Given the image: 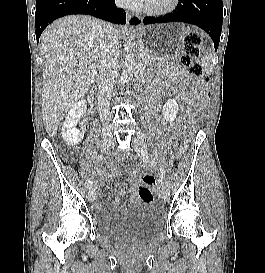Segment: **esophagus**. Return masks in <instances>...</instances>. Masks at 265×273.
<instances>
[{
    "label": "esophagus",
    "mask_w": 265,
    "mask_h": 273,
    "mask_svg": "<svg viewBox=\"0 0 265 273\" xmlns=\"http://www.w3.org/2000/svg\"><path fill=\"white\" fill-rule=\"evenodd\" d=\"M127 24L131 27L140 26L142 24V17L129 13L127 15Z\"/></svg>",
    "instance_id": "1"
}]
</instances>
